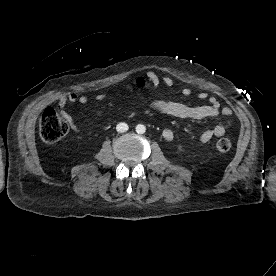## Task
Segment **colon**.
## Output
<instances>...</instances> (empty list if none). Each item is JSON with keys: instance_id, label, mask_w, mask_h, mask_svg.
<instances>
[{"instance_id": "colon-1", "label": "colon", "mask_w": 276, "mask_h": 276, "mask_svg": "<svg viewBox=\"0 0 276 276\" xmlns=\"http://www.w3.org/2000/svg\"><path fill=\"white\" fill-rule=\"evenodd\" d=\"M69 130L68 122L61 117L53 107L46 108L39 122V133L46 143H54L62 139ZM231 148V141L228 138H221L215 143L217 152H227Z\"/></svg>"}]
</instances>
